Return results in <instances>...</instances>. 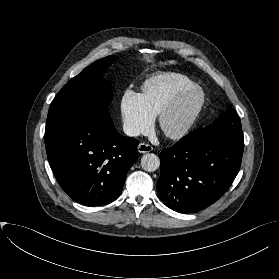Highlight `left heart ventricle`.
Instances as JSON below:
<instances>
[{"mask_svg": "<svg viewBox=\"0 0 279 279\" xmlns=\"http://www.w3.org/2000/svg\"><path fill=\"white\" fill-rule=\"evenodd\" d=\"M198 101V95L190 97L165 123L168 130H176L189 118Z\"/></svg>", "mask_w": 279, "mask_h": 279, "instance_id": "1", "label": "left heart ventricle"}]
</instances>
